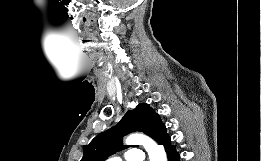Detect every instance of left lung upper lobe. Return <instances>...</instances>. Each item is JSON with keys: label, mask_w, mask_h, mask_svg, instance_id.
<instances>
[{"label": "left lung upper lobe", "mask_w": 261, "mask_h": 161, "mask_svg": "<svg viewBox=\"0 0 261 161\" xmlns=\"http://www.w3.org/2000/svg\"><path fill=\"white\" fill-rule=\"evenodd\" d=\"M135 131L147 134L157 143L168 135L159 115L148 104L140 103L134 110L128 111L115 127L100 133L88 145H84L81 161H105L110 155L127 147L122 145V138Z\"/></svg>", "instance_id": "left-lung-upper-lobe-1"}]
</instances>
